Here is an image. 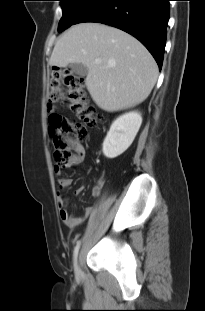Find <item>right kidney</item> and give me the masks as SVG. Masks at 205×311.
Returning a JSON list of instances; mask_svg holds the SVG:
<instances>
[{
    "label": "right kidney",
    "instance_id": "1",
    "mask_svg": "<svg viewBox=\"0 0 205 311\" xmlns=\"http://www.w3.org/2000/svg\"><path fill=\"white\" fill-rule=\"evenodd\" d=\"M142 124L141 114L133 111L119 116L111 125L103 142V154L116 158L132 144Z\"/></svg>",
    "mask_w": 205,
    "mask_h": 311
}]
</instances>
